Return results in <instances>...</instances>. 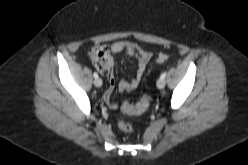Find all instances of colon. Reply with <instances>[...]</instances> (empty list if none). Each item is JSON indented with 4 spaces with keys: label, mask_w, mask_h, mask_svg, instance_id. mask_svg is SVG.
Wrapping results in <instances>:
<instances>
[{
    "label": "colon",
    "mask_w": 248,
    "mask_h": 165,
    "mask_svg": "<svg viewBox=\"0 0 248 165\" xmlns=\"http://www.w3.org/2000/svg\"><path fill=\"white\" fill-rule=\"evenodd\" d=\"M91 58L95 68L102 73L112 68L113 58L111 55V49L108 45L103 44L94 47L91 51ZM167 59L168 55L165 53H161L157 56L156 61L158 63H163L167 61ZM149 104L150 97L147 95H143L140 100L135 104H131L128 102L124 103L122 106V110L127 113H142L147 110ZM111 106L115 107V104L111 103ZM118 126L123 132H133L132 125L124 119H120L118 121Z\"/></svg>",
    "instance_id": "1"
}]
</instances>
